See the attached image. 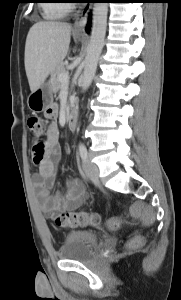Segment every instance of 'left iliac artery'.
I'll use <instances>...</instances> for the list:
<instances>
[{
  "instance_id": "obj_1",
  "label": "left iliac artery",
  "mask_w": 181,
  "mask_h": 300,
  "mask_svg": "<svg viewBox=\"0 0 181 300\" xmlns=\"http://www.w3.org/2000/svg\"><path fill=\"white\" fill-rule=\"evenodd\" d=\"M80 156L83 161H86L87 159V149L84 144H80L79 146Z\"/></svg>"
}]
</instances>
